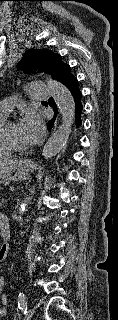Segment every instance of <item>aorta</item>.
<instances>
[{"label":"aorta","mask_w":118,"mask_h":320,"mask_svg":"<svg viewBox=\"0 0 118 320\" xmlns=\"http://www.w3.org/2000/svg\"><path fill=\"white\" fill-rule=\"evenodd\" d=\"M39 76L45 79L62 116V124L51 135L42 150L44 159H49L57 155L67 144L76 110L74 99L63 84L43 73ZM29 200L30 197H26L20 204L18 209L20 216L26 212Z\"/></svg>","instance_id":"762f6f07"}]
</instances>
